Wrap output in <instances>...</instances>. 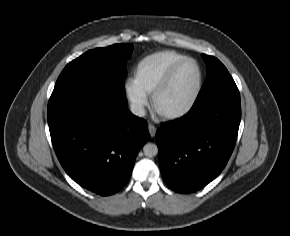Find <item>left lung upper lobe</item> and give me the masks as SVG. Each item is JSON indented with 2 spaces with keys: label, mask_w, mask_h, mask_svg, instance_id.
I'll use <instances>...</instances> for the list:
<instances>
[{
  "label": "left lung upper lobe",
  "mask_w": 290,
  "mask_h": 236,
  "mask_svg": "<svg viewBox=\"0 0 290 236\" xmlns=\"http://www.w3.org/2000/svg\"><path fill=\"white\" fill-rule=\"evenodd\" d=\"M207 65V78L194 103L197 105L206 99L232 87L236 84L225 66L215 57L202 54Z\"/></svg>",
  "instance_id": "1"
}]
</instances>
